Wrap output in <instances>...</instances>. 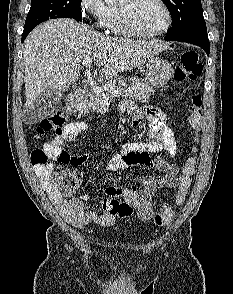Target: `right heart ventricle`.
<instances>
[{
  "instance_id": "1",
  "label": "right heart ventricle",
  "mask_w": 233,
  "mask_h": 294,
  "mask_svg": "<svg viewBox=\"0 0 233 294\" xmlns=\"http://www.w3.org/2000/svg\"><path fill=\"white\" fill-rule=\"evenodd\" d=\"M106 28L113 34L127 35L123 26L120 8L109 7V14L106 19Z\"/></svg>"
}]
</instances>
